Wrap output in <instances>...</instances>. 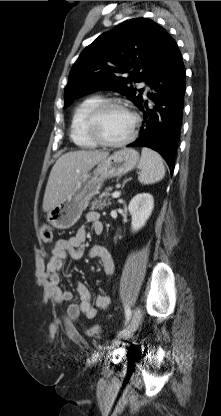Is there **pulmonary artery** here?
<instances>
[{
    "label": "pulmonary artery",
    "instance_id": "e3ab8cb5",
    "mask_svg": "<svg viewBox=\"0 0 221 416\" xmlns=\"http://www.w3.org/2000/svg\"><path fill=\"white\" fill-rule=\"evenodd\" d=\"M142 86H145L146 91L149 90V88L145 84H142Z\"/></svg>",
    "mask_w": 221,
    "mask_h": 416
}]
</instances>
